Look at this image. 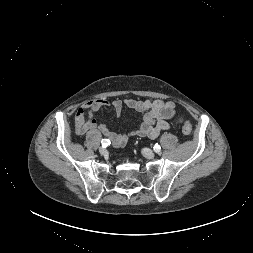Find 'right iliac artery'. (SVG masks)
<instances>
[{"mask_svg":"<svg viewBox=\"0 0 253 253\" xmlns=\"http://www.w3.org/2000/svg\"><path fill=\"white\" fill-rule=\"evenodd\" d=\"M101 143H102V147L106 148L108 145H110V140L102 139Z\"/></svg>","mask_w":253,"mask_h":253,"instance_id":"82829eb1","label":"right iliac artery"}]
</instances>
